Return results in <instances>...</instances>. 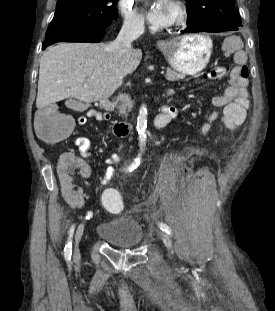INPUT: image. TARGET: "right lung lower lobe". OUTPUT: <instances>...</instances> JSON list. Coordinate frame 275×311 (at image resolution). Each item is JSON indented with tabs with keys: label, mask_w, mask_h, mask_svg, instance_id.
Returning <instances> with one entry per match:
<instances>
[{
	"label": "right lung lower lobe",
	"mask_w": 275,
	"mask_h": 311,
	"mask_svg": "<svg viewBox=\"0 0 275 311\" xmlns=\"http://www.w3.org/2000/svg\"><path fill=\"white\" fill-rule=\"evenodd\" d=\"M111 27L112 24L105 27H87L45 39L42 49L44 50L47 46L57 42H100L104 38L105 32L111 29Z\"/></svg>",
	"instance_id": "right-lung-lower-lobe-1"
}]
</instances>
